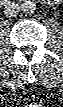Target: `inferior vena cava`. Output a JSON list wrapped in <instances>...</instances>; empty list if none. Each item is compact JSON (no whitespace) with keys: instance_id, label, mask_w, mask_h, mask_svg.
<instances>
[{"instance_id":"obj_1","label":"inferior vena cava","mask_w":63,"mask_h":107,"mask_svg":"<svg viewBox=\"0 0 63 107\" xmlns=\"http://www.w3.org/2000/svg\"><path fill=\"white\" fill-rule=\"evenodd\" d=\"M20 6L16 2H8L4 7V14L6 17H15L19 14Z\"/></svg>"}]
</instances>
